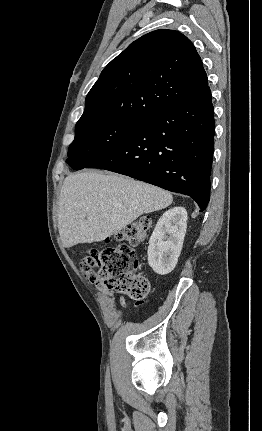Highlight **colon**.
<instances>
[{"mask_svg": "<svg viewBox=\"0 0 262 431\" xmlns=\"http://www.w3.org/2000/svg\"><path fill=\"white\" fill-rule=\"evenodd\" d=\"M151 227V220L143 218L118 232L108 243L91 256L85 252L80 258V269L111 292L125 293L136 301L144 300L149 292L148 279L138 270V258L133 247L140 244Z\"/></svg>", "mask_w": 262, "mask_h": 431, "instance_id": "1", "label": "colon"}]
</instances>
